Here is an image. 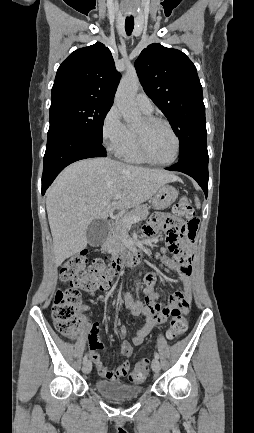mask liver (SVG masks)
Masks as SVG:
<instances>
[{
    "instance_id": "liver-1",
    "label": "liver",
    "mask_w": 254,
    "mask_h": 433,
    "mask_svg": "<svg viewBox=\"0 0 254 433\" xmlns=\"http://www.w3.org/2000/svg\"><path fill=\"white\" fill-rule=\"evenodd\" d=\"M174 174L109 158L77 161L57 177L46 194L55 265L87 246L86 230L94 219H106L111 209L136 207L154 196ZM122 193L121 198L114 196Z\"/></svg>"
}]
</instances>
